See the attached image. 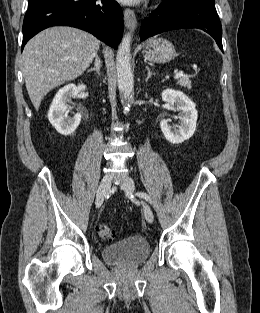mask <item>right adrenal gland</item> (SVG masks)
I'll return each instance as SVG.
<instances>
[{"label":"right adrenal gland","instance_id":"right-adrenal-gland-1","mask_svg":"<svg viewBox=\"0 0 260 313\" xmlns=\"http://www.w3.org/2000/svg\"><path fill=\"white\" fill-rule=\"evenodd\" d=\"M102 66L101 59L98 55L95 56L94 67L90 68L88 72L95 71L98 75H100V68Z\"/></svg>","mask_w":260,"mask_h":313}]
</instances>
